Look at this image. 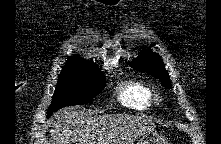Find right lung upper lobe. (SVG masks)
I'll use <instances>...</instances> for the list:
<instances>
[{
  "mask_svg": "<svg viewBox=\"0 0 221 144\" xmlns=\"http://www.w3.org/2000/svg\"><path fill=\"white\" fill-rule=\"evenodd\" d=\"M88 66H96V65L88 62L87 60H84L83 58L72 56L68 58L64 68L88 67Z\"/></svg>",
  "mask_w": 221,
  "mask_h": 144,
  "instance_id": "obj_1",
  "label": "right lung upper lobe"
}]
</instances>
